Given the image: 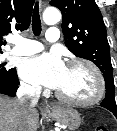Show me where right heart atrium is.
<instances>
[{"mask_svg": "<svg viewBox=\"0 0 117 131\" xmlns=\"http://www.w3.org/2000/svg\"><path fill=\"white\" fill-rule=\"evenodd\" d=\"M22 89L30 94H36L39 91V87L35 84H30V83H22Z\"/></svg>", "mask_w": 117, "mask_h": 131, "instance_id": "1", "label": "right heart atrium"}]
</instances>
